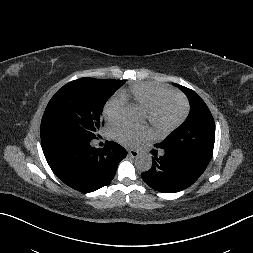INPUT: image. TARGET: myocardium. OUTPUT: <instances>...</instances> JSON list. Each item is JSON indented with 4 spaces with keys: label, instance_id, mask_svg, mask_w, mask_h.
<instances>
[{
    "label": "myocardium",
    "instance_id": "1",
    "mask_svg": "<svg viewBox=\"0 0 253 253\" xmlns=\"http://www.w3.org/2000/svg\"><path fill=\"white\" fill-rule=\"evenodd\" d=\"M174 100L180 107L179 115L170 123L163 124L158 120V112L167 100ZM189 113V104L180 94L169 92L158 97L147 109L146 115L149 123L159 136H166L181 126L186 120Z\"/></svg>",
    "mask_w": 253,
    "mask_h": 253
}]
</instances>
